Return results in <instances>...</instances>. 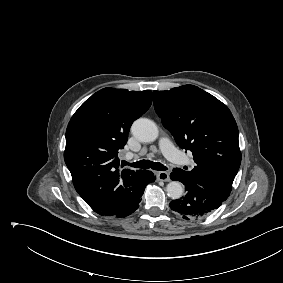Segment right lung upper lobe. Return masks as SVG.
<instances>
[{
  "mask_svg": "<svg viewBox=\"0 0 283 283\" xmlns=\"http://www.w3.org/2000/svg\"><path fill=\"white\" fill-rule=\"evenodd\" d=\"M152 103V92L104 88L87 99L66 130L65 163L74 187L100 215H113L140 192L142 170H121L124 148L134 120Z\"/></svg>",
  "mask_w": 283,
  "mask_h": 283,
  "instance_id": "obj_1",
  "label": "right lung upper lobe"
}]
</instances>
